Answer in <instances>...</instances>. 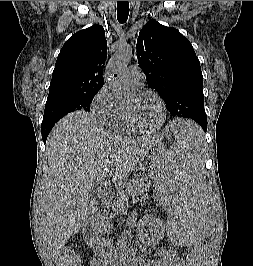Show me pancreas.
Listing matches in <instances>:
<instances>
[{
	"mask_svg": "<svg viewBox=\"0 0 253 266\" xmlns=\"http://www.w3.org/2000/svg\"><path fill=\"white\" fill-rule=\"evenodd\" d=\"M150 187L149 177L139 175L136 180H133L126 186L125 190L118 192L116 200L111 204L112 210H104L102 213L103 219L106 222L104 227H110L114 215L121 212L122 208L128 205L129 201H147ZM139 197V199L137 198ZM110 213V217H106Z\"/></svg>",
	"mask_w": 253,
	"mask_h": 266,
	"instance_id": "cf45deb5",
	"label": "pancreas"
}]
</instances>
